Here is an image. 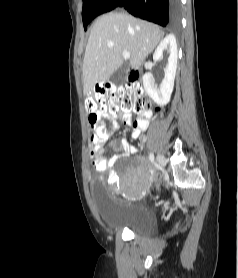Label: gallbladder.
<instances>
[{
  "label": "gallbladder",
  "mask_w": 238,
  "mask_h": 278,
  "mask_svg": "<svg viewBox=\"0 0 238 278\" xmlns=\"http://www.w3.org/2000/svg\"><path fill=\"white\" fill-rule=\"evenodd\" d=\"M128 64L123 63L111 76L110 81L115 85H120L125 81Z\"/></svg>",
  "instance_id": "gallbladder-1"
}]
</instances>
